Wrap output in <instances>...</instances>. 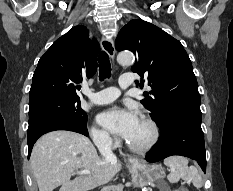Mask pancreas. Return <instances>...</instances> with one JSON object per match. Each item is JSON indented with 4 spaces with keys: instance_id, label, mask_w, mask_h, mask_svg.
Masks as SVG:
<instances>
[{
    "instance_id": "1",
    "label": "pancreas",
    "mask_w": 233,
    "mask_h": 191,
    "mask_svg": "<svg viewBox=\"0 0 233 191\" xmlns=\"http://www.w3.org/2000/svg\"><path fill=\"white\" fill-rule=\"evenodd\" d=\"M122 185L106 186L101 191H122Z\"/></svg>"
}]
</instances>
